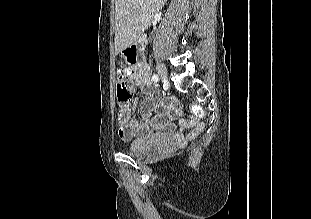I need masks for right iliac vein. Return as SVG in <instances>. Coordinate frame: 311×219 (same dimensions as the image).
<instances>
[{
	"label": "right iliac vein",
	"instance_id": "63e3f726",
	"mask_svg": "<svg viewBox=\"0 0 311 219\" xmlns=\"http://www.w3.org/2000/svg\"><path fill=\"white\" fill-rule=\"evenodd\" d=\"M156 69H157V72H158V75L160 76V78L165 80L167 78L166 68L161 63H157Z\"/></svg>",
	"mask_w": 311,
	"mask_h": 219
}]
</instances>
